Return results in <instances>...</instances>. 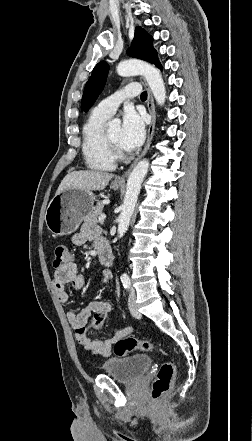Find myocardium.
Returning a JSON list of instances; mask_svg holds the SVG:
<instances>
[{
  "mask_svg": "<svg viewBox=\"0 0 252 441\" xmlns=\"http://www.w3.org/2000/svg\"><path fill=\"white\" fill-rule=\"evenodd\" d=\"M104 143L108 153L114 158L117 159L121 156L120 148L115 145L109 138L107 130L104 131Z\"/></svg>",
  "mask_w": 252,
  "mask_h": 441,
  "instance_id": "obj_1",
  "label": "myocardium"
}]
</instances>
